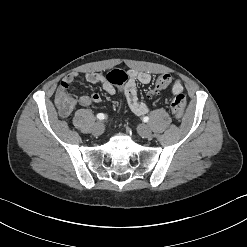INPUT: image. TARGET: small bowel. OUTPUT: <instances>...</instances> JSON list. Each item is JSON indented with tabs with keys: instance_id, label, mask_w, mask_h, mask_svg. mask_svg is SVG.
<instances>
[{
	"instance_id": "c3829d8e",
	"label": "small bowel",
	"mask_w": 247,
	"mask_h": 247,
	"mask_svg": "<svg viewBox=\"0 0 247 247\" xmlns=\"http://www.w3.org/2000/svg\"><path fill=\"white\" fill-rule=\"evenodd\" d=\"M76 77H77L76 73H71L67 75L61 82L58 92L61 90H68L71 93L69 87H70V84L76 79ZM85 79L87 82L91 84H101L104 91L110 95H113L116 93L115 85L111 84L107 80L106 76L102 73H99V72L87 73L85 75ZM151 79H152L151 75L147 72H138L135 70H131L129 71V74H128V82L122 88L124 98L129 108L134 114L138 116L147 113L149 109H148L147 104L139 101L137 97V84L138 83L143 84V85L149 84ZM170 82H171V78H170ZM182 91H183V86L181 82L179 80L174 81L172 88H171L172 94L175 96L177 94L182 93ZM129 92L131 93V96H129ZM71 95L73 97V104H72V107L68 111L62 112V114L65 116L68 115L76 105L90 106L92 104H98L101 102V96L98 93H93L91 95H79L76 97L73 96L72 93Z\"/></svg>"
}]
</instances>
